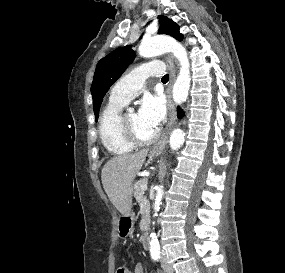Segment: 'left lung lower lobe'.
I'll return each mask as SVG.
<instances>
[{
  "mask_svg": "<svg viewBox=\"0 0 285 273\" xmlns=\"http://www.w3.org/2000/svg\"><path fill=\"white\" fill-rule=\"evenodd\" d=\"M183 115V112L181 110H178V116H182Z\"/></svg>",
  "mask_w": 285,
  "mask_h": 273,
  "instance_id": "0a47b994",
  "label": "left lung lower lobe"
}]
</instances>
